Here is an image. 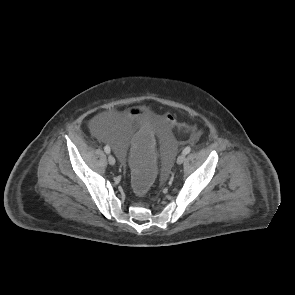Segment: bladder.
<instances>
[{
	"label": "bladder",
	"mask_w": 295,
	"mask_h": 295,
	"mask_svg": "<svg viewBox=\"0 0 295 295\" xmlns=\"http://www.w3.org/2000/svg\"><path fill=\"white\" fill-rule=\"evenodd\" d=\"M148 121L153 126L156 142L162 147L157 152L161 159L158 175L165 177L171 172V161L175 159L178 143L174 137H171L173 130L163 117H152ZM131 127L132 124L128 122L119 125L110 113L99 114L90 123V130L100 142L106 145L112 144L111 152L116 159L122 160L128 156L129 168L134 144L131 139Z\"/></svg>",
	"instance_id": "31cf9c89"
}]
</instances>
